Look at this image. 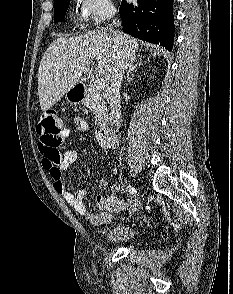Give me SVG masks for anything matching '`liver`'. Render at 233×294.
<instances>
[{"label":"liver","instance_id":"obj_1","mask_svg":"<svg viewBox=\"0 0 233 294\" xmlns=\"http://www.w3.org/2000/svg\"><path fill=\"white\" fill-rule=\"evenodd\" d=\"M116 34L120 50L131 59L139 48L138 40L122 32ZM117 51L113 31H91L54 40L44 53L38 70L41 110L47 111L74 88L93 60H97L96 74L108 81Z\"/></svg>","mask_w":233,"mask_h":294}]
</instances>
